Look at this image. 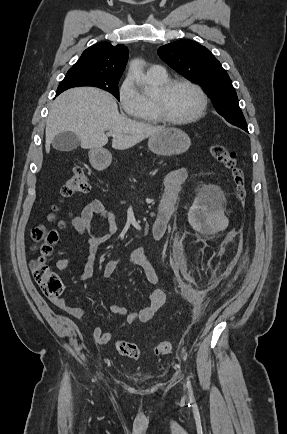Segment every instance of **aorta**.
<instances>
[{
  "label": "aorta",
  "mask_w": 287,
  "mask_h": 434,
  "mask_svg": "<svg viewBox=\"0 0 287 434\" xmlns=\"http://www.w3.org/2000/svg\"><path fill=\"white\" fill-rule=\"evenodd\" d=\"M129 74L141 86L147 85V78L143 72V61L135 59L130 63Z\"/></svg>",
  "instance_id": "obj_1"
}]
</instances>
